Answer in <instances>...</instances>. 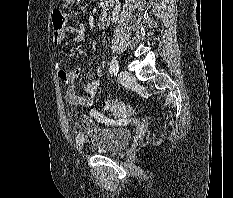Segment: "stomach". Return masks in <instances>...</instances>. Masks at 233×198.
Here are the masks:
<instances>
[{
  "instance_id": "obj_1",
  "label": "stomach",
  "mask_w": 233,
  "mask_h": 198,
  "mask_svg": "<svg viewBox=\"0 0 233 198\" xmlns=\"http://www.w3.org/2000/svg\"><path fill=\"white\" fill-rule=\"evenodd\" d=\"M75 0H64V2L70 4V3H74Z\"/></svg>"
}]
</instances>
